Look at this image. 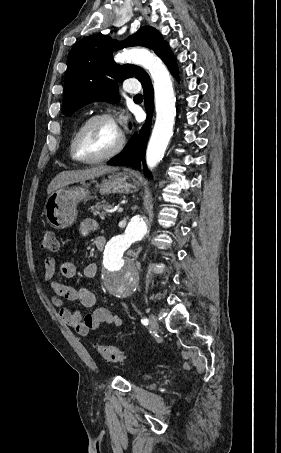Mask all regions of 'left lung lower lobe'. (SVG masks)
Masks as SVG:
<instances>
[{
    "label": "left lung lower lobe",
    "mask_w": 281,
    "mask_h": 453,
    "mask_svg": "<svg viewBox=\"0 0 281 453\" xmlns=\"http://www.w3.org/2000/svg\"><path fill=\"white\" fill-rule=\"evenodd\" d=\"M160 58L168 66L169 70L173 74L177 73L175 59L168 44H166L163 48L160 54ZM141 82L144 89V103L147 111V120L141 128L139 134H134L124 150L120 154L112 158L109 162H107V164L129 165L135 168H140V162L142 161L144 163V174L147 177L151 178V174L145 165V149L153 114V86L148 75H146Z\"/></svg>",
    "instance_id": "1"
}]
</instances>
